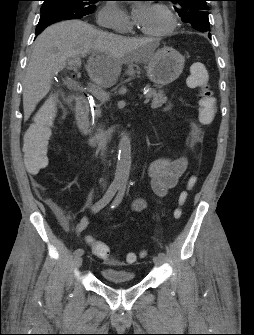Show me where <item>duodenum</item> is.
<instances>
[{"label": "duodenum", "mask_w": 254, "mask_h": 335, "mask_svg": "<svg viewBox=\"0 0 254 335\" xmlns=\"http://www.w3.org/2000/svg\"><path fill=\"white\" fill-rule=\"evenodd\" d=\"M89 102L85 97H78L76 106V123L82 134H87L89 129L88 121ZM113 133V129L108 131V136Z\"/></svg>", "instance_id": "1"}]
</instances>
